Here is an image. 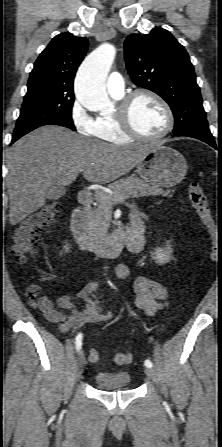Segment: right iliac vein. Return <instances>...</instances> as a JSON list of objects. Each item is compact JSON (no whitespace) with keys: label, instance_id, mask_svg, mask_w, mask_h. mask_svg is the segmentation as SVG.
<instances>
[{"label":"right iliac vein","instance_id":"right-iliac-vein-1","mask_svg":"<svg viewBox=\"0 0 222 447\" xmlns=\"http://www.w3.org/2000/svg\"><path fill=\"white\" fill-rule=\"evenodd\" d=\"M85 364H86L85 354H84L83 350H81L79 353V356H78V360H77L76 379L80 378L81 374L84 371Z\"/></svg>","mask_w":222,"mask_h":447}]
</instances>
